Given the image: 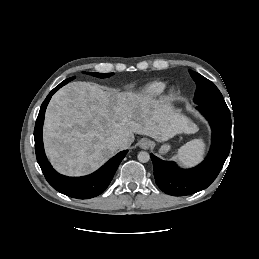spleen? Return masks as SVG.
I'll return each instance as SVG.
<instances>
[{
	"label": "spleen",
	"mask_w": 259,
	"mask_h": 259,
	"mask_svg": "<svg viewBox=\"0 0 259 259\" xmlns=\"http://www.w3.org/2000/svg\"><path fill=\"white\" fill-rule=\"evenodd\" d=\"M204 152V141L202 139H195L179 148L175 158L181 165L189 167L201 161Z\"/></svg>",
	"instance_id": "3e777b00"
}]
</instances>
